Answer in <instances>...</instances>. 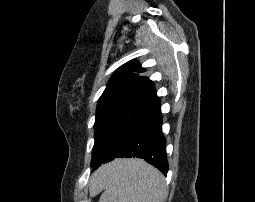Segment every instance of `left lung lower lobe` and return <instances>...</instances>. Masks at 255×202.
Returning a JSON list of instances; mask_svg holds the SVG:
<instances>
[{"label":"left lung lower lobe","mask_w":255,"mask_h":202,"mask_svg":"<svg viewBox=\"0 0 255 202\" xmlns=\"http://www.w3.org/2000/svg\"><path fill=\"white\" fill-rule=\"evenodd\" d=\"M165 145L166 140L162 134L161 106H159L135 130L119 154L114 158L100 160L96 162L95 166L112 161L118 157H137L143 158L166 175L168 172V161Z\"/></svg>","instance_id":"1"}]
</instances>
